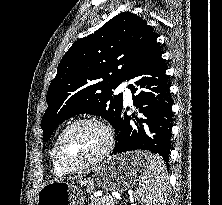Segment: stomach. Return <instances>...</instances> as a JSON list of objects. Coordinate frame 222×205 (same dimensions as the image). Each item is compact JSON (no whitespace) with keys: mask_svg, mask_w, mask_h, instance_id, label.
<instances>
[{"mask_svg":"<svg viewBox=\"0 0 222 205\" xmlns=\"http://www.w3.org/2000/svg\"><path fill=\"white\" fill-rule=\"evenodd\" d=\"M147 153L122 154L104 160L93 168L92 175L74 182L52 181L42 187L37 205H83V187L88 193L95 187L106 191L124 192L140 182L143 174V158Z\"/></svg>","mask_w":222,"mask_h":205,"instance_id":"1","label":"stomach"}]
</instances>
